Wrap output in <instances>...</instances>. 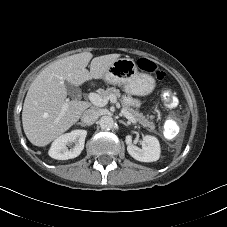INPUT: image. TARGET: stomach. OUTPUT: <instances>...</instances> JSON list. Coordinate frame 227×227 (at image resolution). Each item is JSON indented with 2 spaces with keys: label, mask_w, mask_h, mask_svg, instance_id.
Segmentation results:
<instances>
[{
  "label": "stomach",
  "mask_w": 227,
  "mask_h": 227,
  "mask_svg": "<svg viewBox=\"0 0 227 227\" xmlns=\"http://www.w3.org/2000/svg\"><path fill=\"white\" fill-rule=\"evenodd\" d=\"M103 79L113 85L123 87L126 93L145 96L155 88V80L150 75L138 72L133 59L118 58L104 74Z\"/></svg>",
  "instance_id": "obj_1"
}]
</instances>
